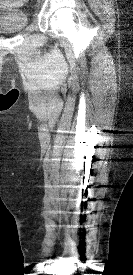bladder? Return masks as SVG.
<instances>
[{
    "label": "bladder",
    "instance_id": "1",
    "mask_svg": "<svg viewBox=\"0 0 133 275\" xmlns=\"http://www.w3.org/2000/svg\"><path fill=\"white\" fill-rule=\"evenodd\" d=\"M28 23L29 16L23 8L0 4V32H18Z\"/></svg>",
    "mask_w": 133,
    "mask_h": 275
}]
</instances>
